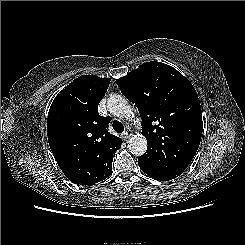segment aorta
<instances>
[{
  "label": "aorta",
  "mask_w": 245,
  "mask_h": 245,
  "mask_svg": "<svg viewBox=\"0 0 245 245\" xmlns=\"http://www.w3.org/2000/svg\"><path fill=\"white\" fill-rule=\"evenodd\" d=\"M107 108L112 115L120 118L129 119L133 114L130 104L122 95H111L107 101ZM128 148L136 156L143 155L147 149V140L141 134L133 135L128 141Z\"/></svg>",
  "instance_id": "aorta-1"
}]
</instances>
